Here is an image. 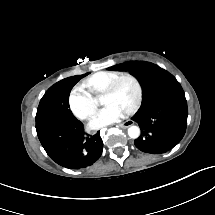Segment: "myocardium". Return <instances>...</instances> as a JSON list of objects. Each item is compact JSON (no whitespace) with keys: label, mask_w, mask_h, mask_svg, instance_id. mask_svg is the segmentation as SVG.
Wrapping results in <instances>:
<instances>
[{"label":"myocardium","mask_w":215,"mask_h":215,"mask_svg":"<svg viewBox=\"0 0 215 215\" xmlns=\"http://www.w3.org/2000/svg\"><path fill=\"white\" fill-rule=\"evenodd\" d=\"M126 82L131 87V99L127 104L128 108H126V113H133L135 108L138 106L141 96V89L139 82L135 77L127 73H121L117 75H113L110 77L109 83L105 86V91L109 92L111 89L115 90L116 86L121 83ZM113 92V91H112Z\"/></svg>","instance_id":"obj_1"}]
</instances>
